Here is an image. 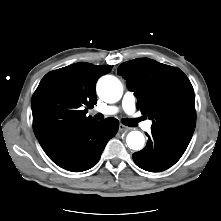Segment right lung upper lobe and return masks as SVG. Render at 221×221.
Returning a JSON list of instances; mask_svg holds the SVG:
<instances>
[{"label":"right lung upper lobe","mask_w":221,"mask_h":221,"mask_svg":"<svg viewBox=\"0 0 221 221\" xmlns=\"http://www.w3.org/2000/svg\"><path fill=\"white\" fill-rule=\"evenodd\" d=\"M112 66L75 63L46 74L32 97L33 130L44 149L69 130L94 121L86 117L96 104L97 79Z\"/></svg>","instance_id":"obj_1"}]
</instances>
